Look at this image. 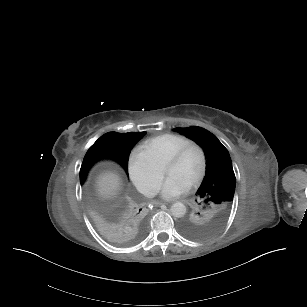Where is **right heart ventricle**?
Returning a JSON list of instances; mask_svg holds the SVG:
<instances>
[{
    "label": "right heart ventricle",
    "instance_id": "e07e8e85",
    "mask_svg": "<svg viewBox=\"0 0 307 307\" xmlns=\"http://www.w3.org/2000/svg\"><path fill=\"white\" fill-rule=\"evenodd\" d=\"M191 140V137L183 134L168 133L162 135L159 138V150L157 153L158 159L164 161L167 156L173 154Z\"/></svg>",
    "mask_w": 307,
    "mask_h": 307
}]
</instances>
